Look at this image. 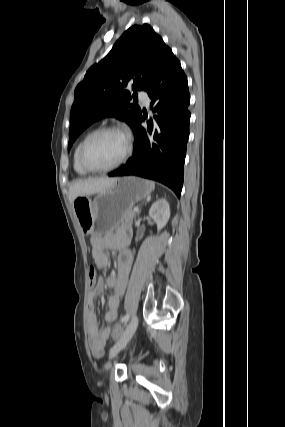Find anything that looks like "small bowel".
I'll use <instances>...</instances> for the list:
<instances>
[{"mask_svg":"<svg viewBox=\"0 0 285 427\" xmlns=\"http://www.w3.org/2000/svg\"><path fill=\"white\" fill-rule=\"evenodd\" d=\"M129 239V230H121L117 234H110L104 237L100 235L91 237L92 256L96 264L101 268L108 266V250H120L117 258V275L109 276L106 280L102 277L98 278L96 285L88 293V310L90 316L89 346L92 355L96 358H100L103 355L110 330L102 327L98 321L94 302L103 292L105 285L111 288L112 294L107 301V311L104 321L108 324L115 322L118 317L120 298L125 291L133 262L131 251L125 248Z\"/></svg>","mask_w":285,"mask_h":427,"instance_id":"c3829d8e","label":"small bowel"}]
</instances>
